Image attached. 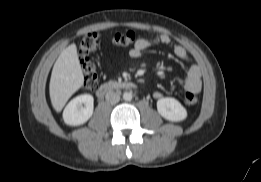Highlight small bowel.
<instances>
[{"label":"small bowel","instance_id":"c3829d8e","mask_svg":"<svg viewBox=\"0 0 261 182\" xmlns=\"http://www.w3.org/2000/svg\"><path fill=\"white\" fill-rule=\"evenodd\" d=\"M155 44L169 45L177 58L186 63L190 62V57L185 48L182 45L172 41V39L166 34H159L152 38L138 39L134 46L130 49L129 55L132 58H139L147 48ZM183 87L187 92H192L195 94L200 93L202 89V80L201 71L197 65L192 64L187 68ZM154 96L155 98H161L162 93L156 92Z\"/></svg>","mask_w":261,"mask_h":182}]
</instances>
